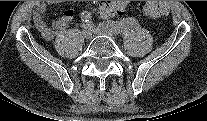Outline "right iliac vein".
Listing matches in <instances>:
<instances>
[{
  "label": "right iliac vein",
  "instance_id": "obj_1",
  "mask_svg": "<svg viewBox=\"0 0 207 121\" xmlns=\"http://www.w3.org/2000/svg\"><path fill=\"white\" fill-rule=\"evenodd\" d=\"M82 30H83V36L86 39H90L92 36V29L90 27V25L88 24H83L82 25Z\"/></svg>",
  "mask_w": 207,
  "mask_h": 121
}]
</instances>
